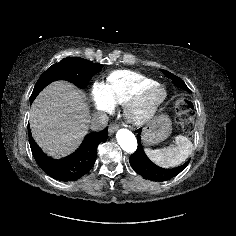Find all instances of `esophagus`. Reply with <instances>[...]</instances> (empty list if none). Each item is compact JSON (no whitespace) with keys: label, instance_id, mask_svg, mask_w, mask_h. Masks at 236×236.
I'll return each mask as SVG.
<instances>
[{"label":"esophagus","instance_id":"34e87169","mask_svg":"<svg viewBox=\"0 0 236 236\" xmlns=\"http://www.w3.org/2000/svg\"><path fill=\"white\" fill-rule=\"evenodd\" d=\"M117 128H118V125L116 123L110 124L108 128L109 134H113Z\"/></svg>","mask_w":236,"mask_h":236}]
</instances>
